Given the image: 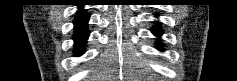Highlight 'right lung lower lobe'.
I'll use <instances>...</instances> for the list:
<instances>
[{"label": "right lung lower lobe", "mask_w": 237, "mask_h": 81, "mask_svg": "<svg viewBox=\"0 0 237 81\" xmlns=\"http://www.w3.org/2000/svg\"><path fill=\"white\" fill-rule=\"evenodd\" d=\"M89 16L83 11L79 10L78 15L74 20L75 25V34H74V41L75 45L77 46L76 55H81L83 53V45L85 44L89 32L87 31V22Z\"/></svg>", "instance_id": "obj_1"}]
</instances>
